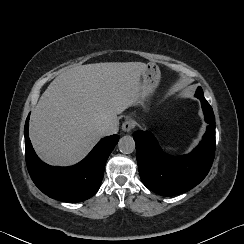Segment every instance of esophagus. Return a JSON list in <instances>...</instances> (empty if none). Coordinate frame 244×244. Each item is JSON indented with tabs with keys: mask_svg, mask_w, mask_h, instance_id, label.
Returning <instances> with one entry per match:
<instances>
[{
	"mask_svg": "<svg viewBox=\"0 0 244 244\" xmlns=\"http://www.w3.org/2000/svg\"><path fill=\"white\" fill-rule=\"evenodd\" d=\"M135 126V123L133 120L131 119H127L124 121V123L122 124V130L124 132H130Z\"/></svg>",
	"mask_w": 244,
	"mask_h": 244,
	"instance_id": "1",
	"label": "esophagus"
}]
</instances>
